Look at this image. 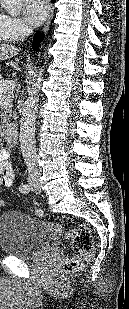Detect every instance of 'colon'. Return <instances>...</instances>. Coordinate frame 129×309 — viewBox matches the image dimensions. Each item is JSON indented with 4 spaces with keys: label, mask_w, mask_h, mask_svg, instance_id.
<instances>
[{
    "label": "colon",
    "mask_w": 129,
    "mask_h": 309,
    "mask_svg": "<svg viewBox=\"0 0 129 309\" xmlns=\"http://www.w3.org/2000/svg\"><path fill=\"white\" fill-rule=\"evenodd\" d=\"M1 205H3V201L0 199ZM39 214H41L40 211ZM47 225L53 231L69 239L72 244V249L76 253L75 256L67 258L62 262L61 272L63 274H70L83 269L93 254L94 241L91 230L85 225H79L72 229H66L53 223H47Z\"/></svg>",
    "instance_id": "obj_1"
}]
</instances>
